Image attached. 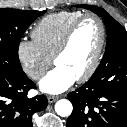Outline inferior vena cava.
<instances>
[{
    "label": "inferior vena cava",
    "mask_w": 127,
    "mask_h": 127,
    "mask_svg": "<svg viewBox=\"0 0 127 127\" xmlns=\"http://www.w3.org/2000/svg\"><path fill=\"white\" fill-rule=\"evenodd\" d=\"M44 74H45L44 71H32V72H30L29 75L33 79H38V78L42 77Z\"/></svg>",
    "instance_id": "inferior-vena-cava-1"
}]
</instances>
